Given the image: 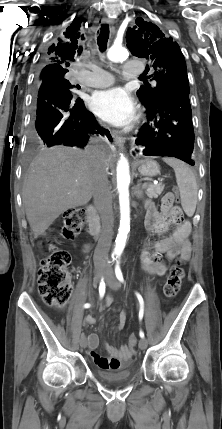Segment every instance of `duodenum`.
<instances>
[{"label":"duodenum","instance_id":"obj_1","mask_svg":"<svg viewBox=\"0 0 222 429\" xmlns=\"http://www.w3.org/2000/svg\"><path fill=\"white\" fill-rule=\"evenodd\" d=\"M86 221L88 231L93 237H98L101 231L100 221L96 209L93 205L86 207Z\"/></svg>","mask_w":222,"mask_h":429}]
</instances>
